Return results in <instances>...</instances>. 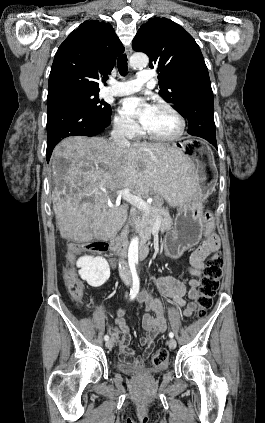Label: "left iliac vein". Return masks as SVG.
Listing matches in <instances>:
<instances>
[{
  "mask_svg": "<svg viewBox=\"0 0 265 423\" xmlns=\"http://www.w3.org/2000/svg\"><path fill=\"white\" fill-rule=\"evenodd\" d=\"M176 345H177V343H176V341H175V339H170L169 341H168V346H169V348L170 349H175L176 348Z\"/></svg>",
  "mask_w": 265,
  "mask_h": 423,
  "instance_id": "obj_1",
  "label": "left iliac vein"
}]
</instances>
